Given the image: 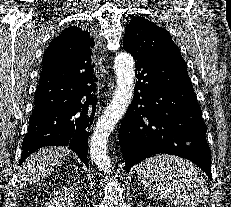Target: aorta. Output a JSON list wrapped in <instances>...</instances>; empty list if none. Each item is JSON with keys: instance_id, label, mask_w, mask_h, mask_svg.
Returning <instances> with one entry per match:
<instances>
[{"instance_id": "1", "label": "aorta", "mask_w": 231, "mask_h": 207, "mask_svg": "<svg viewBox=\"0 0 231 207\" xmlns=\"http://www.w3.org/2000/svg\"><path fill=\"white\" fill-rule=\"evenodd\" d=\"M114 69L117 86L113 98L98 120L90 140L91 160L104 173L110 172L111 169L107 154L108 138L130 105L135 86V62L129 53L121 52L116 56Z\"/></svg>"}]
</instances>
